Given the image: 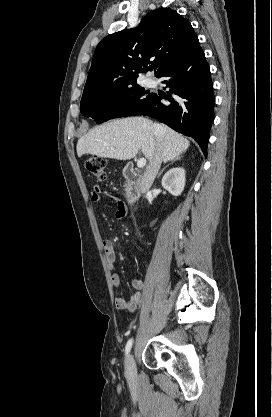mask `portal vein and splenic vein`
I'll use <instances>...</instances> for the list:
<instances>
[{
  "label": "portal vein and splenic vein",
  "instance_id": "1",
  "mask_svg": "<svg viewBox=\"0 0 272 417\" xmlns=\"http://www.w3.org/2000/svg\"><path fill=\"white\" fill-rule=\"evenodd\" d=\"M146 165V159L145 158H140L137 161V167L138 168H143Z\"/></svg>",
  "mask_w": 272,
  "mask_h": 417
}]
</instances>
